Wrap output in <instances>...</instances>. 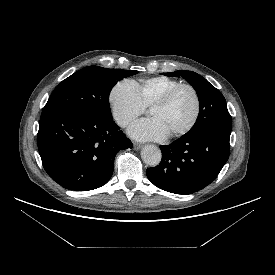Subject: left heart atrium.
Returning <instances> with one entry per match:
<instances>
[{
	"instance_id": "1",
	"label": "left heart atrium",
	"mask_w": 275,
	"mask_h": 275,
	"mask_svg": "<svg viewBox=\"0 0 275 275\" xmlns=\"http://www.w3.org/2000/svg\"><path fill=\"white\" fill-rule=\"evenodd\" d=\"M129 135L140 141L163 140L168 133L155 118L142 119L135 122L128 130Z\"/></svg>"
}]
</instances>
